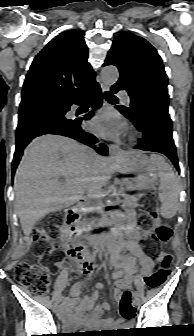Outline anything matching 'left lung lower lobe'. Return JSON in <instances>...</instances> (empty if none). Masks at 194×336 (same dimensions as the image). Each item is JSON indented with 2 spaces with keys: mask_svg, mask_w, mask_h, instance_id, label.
Returning <instances> with one entry per match:
<instances>
[{
  "mask_svg": "<svg viewBox=\"0 0 194 336\" xmlns=\"http://www.w3.org/2000/svg\"><path fill=\"white\" fill-rule=\"evenodd\" d=\"M111 90L113 93H116L124 89L113 85ZM132 121L135 127L144 133V137L139 140L135 148L166 155L179 171L176 148L172 137V121L168 112L147 114Z\"/></svg>",
  "mask_w": 194,
  "mask_h": 336,
  "instance_id": "obj_1",
  "label": "left lung lower lobe"
}]
</instances>
